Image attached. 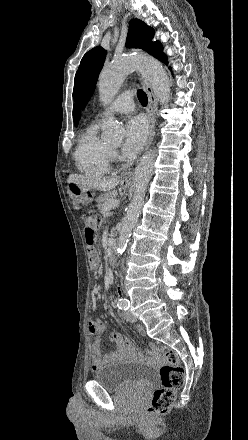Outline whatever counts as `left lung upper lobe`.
Masks as SVG:
<instances>
[{"label": "left lung upper lobe", "mask_w": 248, "mask_h": 440, "mask_svg": "<svg viewBox=\"0 0 248 440\" xmlns=\"http://www.w3.org/2000/svg\"><path fill=\"white\" fill-rule=\"evenodd\" d=\"M130 27L126 40L127 47L142 48L149 54L167 64L163 47L159 41L152 42L155 31L138 19L129 22ZM106 51L98 46L88 51L82 58L74 79L73 97L83 108L93 94L97 78L102 70Z\"/></svg>", "instance_id": "obj_1"}]
</instances>
